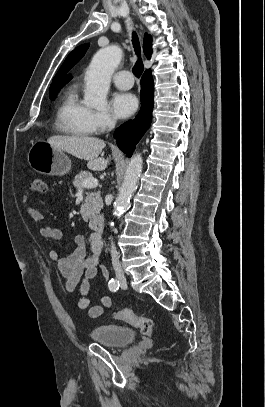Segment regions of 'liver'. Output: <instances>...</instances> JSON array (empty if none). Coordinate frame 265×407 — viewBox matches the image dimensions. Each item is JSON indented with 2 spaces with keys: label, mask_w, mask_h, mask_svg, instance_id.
<instances>
[{
  "label": "liver",
  "mask_w": 265,
  "mask_h": 407,
  "mask_svg": "<svg viewBox=\"0 0 265 407\" xmlns=\"http://www.w3.org/2000/svg\"><path fill=\"white\" fill-rule=\"evenodd\" d=\"M47 143L79 159L87 160V167L92 170H105L111 160V156L107 159L99 157L105 142L96 137L52 136Z\"/></svg>",
  "instance_id": "6515ba94"
}]
</instances>
